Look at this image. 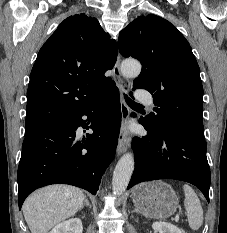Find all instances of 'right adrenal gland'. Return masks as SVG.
Masks as SVG:
<instances>
[{"label": "right adrenal gland", "instance_id": "2a0ac1e0", "mask_svg": "<svg viewBox=\"0 0 227 233\" xmlns=\"http://www.w3.org/2000/svg\"><path fill=\"white\" fill-rule=\"evenodd\" d=\"M88 206L89 208H91V205H90V203H89V201H88V199L87 198H85V203H84V206ZM84 206H83V208H84ZM82 208V209H83Z\"/></svg>", "mask_w": 227, "mask_h": 233}]
</instances>
